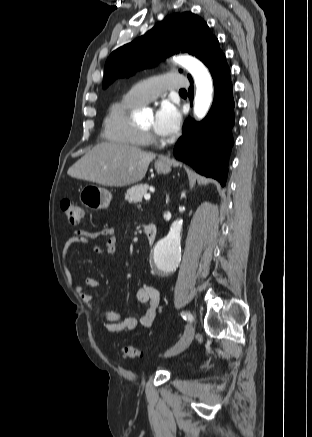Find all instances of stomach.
<instances>
[{
	"mask_svg": "<svg viewBox=\"0 0 312 437\" xmlns=\"http://www.w3.org/2000/svg\"><path fill=\"white\" fill-rule=\"evenodd\" d=\"M172 162L169 159L155 162V169L159 174H168L171 171ZM80 202L91 210L107 209L112 200V194L107 189L94 184L84 186L79 194Z\"/></svg>",
	"mask_w": 312,
	"mask_h": 437,
	"instance_id": "1",
	"label": "stomach"
}]
</instances>
